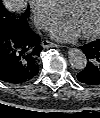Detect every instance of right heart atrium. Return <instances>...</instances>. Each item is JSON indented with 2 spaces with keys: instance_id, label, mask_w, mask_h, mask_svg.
<instances>
[{
  "instance_id": "right-heart-atrium-1",
  "label": "right heart atrium",
  "mask_w": 100,
  "mask_h": 118,
  "mask_svg": "<svg viewBox=\"0 0 100 118\" xmlns=\"http://www.w3.org/2000/svg\"><path fill=\"white\" fill-rule=\"evenodd\" d=\"M36 25L45 29L62 16V10L54 0H29Z\"/></svg>"
}]
</instances>
